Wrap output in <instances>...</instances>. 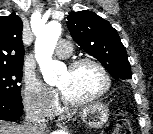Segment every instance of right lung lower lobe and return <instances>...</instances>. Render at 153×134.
I'll return each instance as SVG.
<instances>
[{
	"label": "right lung lower lobe",
	"mask_w": 153,
	"mask_h": 134,
	"mask_svg": "<svg viewBox=\"0 0 153 134\" xmlns=\"http://www.w3.org/2000/svg\"><path fill=\"white\" fill-rule=\"evenodd\" d=\"M23 114V104L21 101L10 100L0 97V119L12 121L18 119Z\"/></svg>",
	"instance_id": "1"
}]
</instances>
